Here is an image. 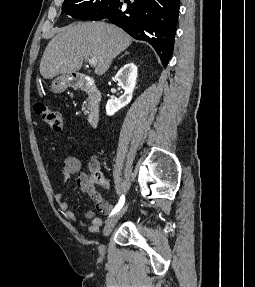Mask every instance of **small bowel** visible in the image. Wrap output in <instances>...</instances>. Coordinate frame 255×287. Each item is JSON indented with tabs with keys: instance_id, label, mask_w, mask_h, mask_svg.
I'll return each mask as SVG.
<instances>
[{
	"instance_id": "small-bowel-1",
	"label": "small bowel",
	"mask_w": 255,
	"mask_h": 287,
	"mask_svg": "<svg viewBox=\"0 0 255 287\" xmlns=\"http://www.w3.org/2000/svg\"><path fill=\"white\" fill-rule=\"evenodd\" d=\"M61 172L63 175V182H66L71 177H75L78 187L85 192L96 204L97 210L102 214H107L110 210V205L105 197L98 192L88 180L87 175L81 169V162L76 157H67L64 159ZM55 202L59 210L64 215L65 219L71 224L80 223L86 226L92 233H97L103 225V220L95 216L92 212L87 214L90 222L85 224L78 222L74 212L70 209L68 202L64 199L63 193L59 192L54 196Z\"/></svg>"
}]
</instances>
